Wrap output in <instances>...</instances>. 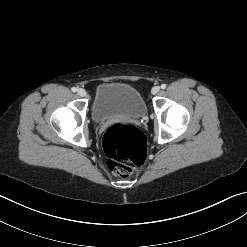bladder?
Wrapping results in <instances>:
<instances>
[{
    "label": "bladder",
    "mask_w": 247,
    "mask_h": 247,
    "mask_svg": "<svg viewBox=\"0 0 247 247\" xmlns=\"http://www.w3.org/2000/svg\"><path fill=\"white\" fill-rule=\"evenodd\" d=\"M147 112L139 91L124 83H102L97 86L91 107L94 122L113 118H141Z\"/></svg>",
    "instance_id": "obj_1"
}]
</instances>
